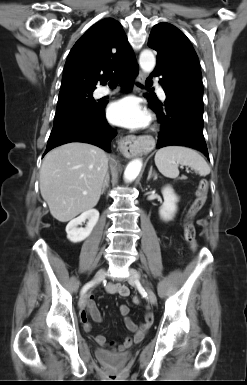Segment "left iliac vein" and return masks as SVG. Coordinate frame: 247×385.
Returning <instances> with one entry per match:
<instances>
[{
  "mask_svg": "<svg viewBox=\"0 0 247 385\" xmlns=\"http://www.w3.org/2000/svg\"><path fill=\"white\" fill-rule=\"evenodd\" d=\"M127 280L131 284H140L141 283L140 273L134 268H129V275L127 277ZM145 291L147 293L148 301L151 304H156L157 298H156V294L154 293V291L148 286H145Z\"/></svg>",
  "mask_w": 247,
  "mask_h": 385,
  "instance_id": "4c4485c4",
  "label": "left iliac vein"
}]
</instances>
